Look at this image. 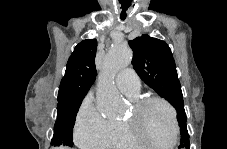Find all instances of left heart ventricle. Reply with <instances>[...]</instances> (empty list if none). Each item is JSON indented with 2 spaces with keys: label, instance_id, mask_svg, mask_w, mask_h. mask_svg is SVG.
<instances>
[{
  "label": "left heart ventricle",
  "instance_id": "obj_1",
  "mask_svg": "<svg viewBox=\"0 0 227 149\" xmlns=\"http://www.w3.org/2000/svg\"><path fill=\"white\" fill-rule=\"evenodd\" d=\"M133 116V110L128 118ZM139 130L155 143H170L173 137V121L169 110L160 103H153L138 116Z\"/></svg>",
  "mask_w": 227,
  "mask_h": 149
}]
</instances>
